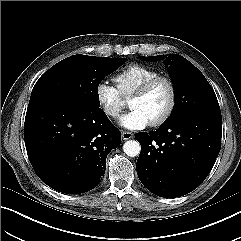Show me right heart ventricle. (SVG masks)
Wrapping results in <instances>:
<instances>
[{
  "instance_id": "1",
  "label": "right heart ventricle",
  "mask_w": 241,
  "mask_h": 241,
  "mask_svg": "<svg viewBox=\"0 0 241 241\" xmlns=\"http://www.w3.org/2000/svg\"><path fill=\"white\" fill-rule=\"evenodd\" d=\"M159 75L160 73L150 66L130 64L119 71L113 80L120 94L128 97L146 81Z\"/></svg>"
}]
</instances>
